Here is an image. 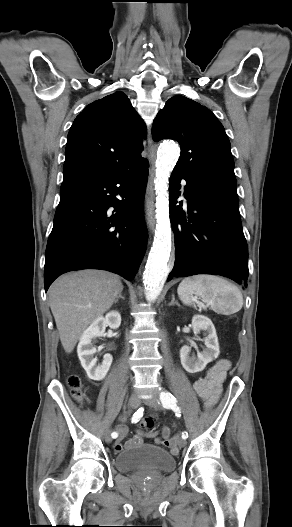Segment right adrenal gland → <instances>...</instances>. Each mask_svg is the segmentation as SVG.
<instances>
[{
    "instance_id": "obj_1",
    "label": "right adrenal gland",
    "mask_w": 292,
    "mask_h": 527,
    "mask_svg": "<svg viewBox=\"0 0 292 527\" xmlns=\"http://www.w3.org/2000/svg\"><path fill=\"white\" fill-rule=\"evenodd\" d=\"M119 299L125 300V297L122 296V293H120V294L118 295V297L116 298V300H115L114 303H115V304L118 303Z\"/></svg>"
}]
</instances>
